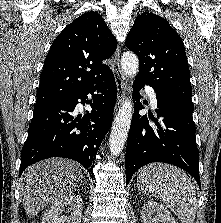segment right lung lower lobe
Here are the masks:
<instances>
[{
    "label": "right lung lower lobe",
    "mask_w": 221,
    "mask_h": 223,
    "mask_svg": "<svg viewBox=\"0 0 221 223\" xmlns=\"http://www.w3.org/2000/svg\"><path fill=\"white\" fill-rule=\"evenodd\" d=\"M89 93L92 100H87ZM116 97L114 75L109 71L73 95L34 107L29 134L21 151L19 176L28 166L50 157L76 160L92 176L95 155L112 123ZM78 100L83 105L89 103L92 111L75 115Z\"/></svg>",
    "instance_id": "obj_1"
}]
</instances>
